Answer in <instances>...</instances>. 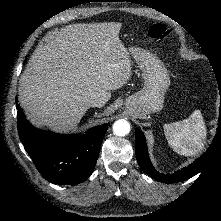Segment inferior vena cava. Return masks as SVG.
<instances>
[{
  "instance_id": "602c4592",
  "label": "inferior vena cava",
  "mask_w": 221,
  "mask_h": 221,
  "mask_svg": "<svg viewBox=\"0 0 221 221\" xmlns=\"http://www.w3.org/2000/svg\"><path fill=\"white\" fill-rule=\"evenodd\" d=\"M104 102L101 99H90L87 102V107H102Z\"/></svg>"
}]
</instances>
